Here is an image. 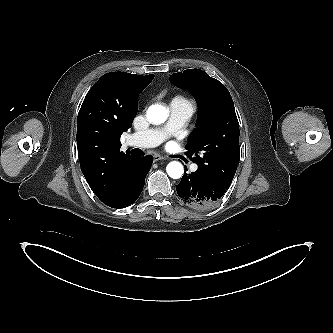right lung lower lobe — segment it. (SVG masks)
I'll return each mask as SVG.
<instances>
[{"mask_svg": "<svg viewBox=\"0 0 333 333\" xmlns=\"http://www.w3.org/2000/svg\"><path fill=\"white\" fill-rule=\"evenodd\" d=\"M152 162L153 159L150 156L129 157L123 164L115 190L101 201L112 208H124L131 205L142 192L145 177Z\"/></svg>", "mask_w": 333, "mask_h": 333, "instance_id": "1", "label": "right lung lower lobe"}]
</instances>
